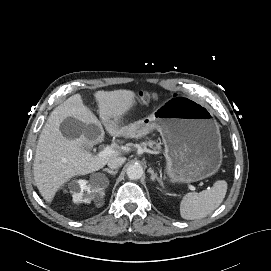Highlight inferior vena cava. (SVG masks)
<instances>
[{
	"label": "inferior vena cava",
	"mask_w": 271,
	"mask_h": 271,
	"mask_svg": "<svg viewBox=\"0 0 271 271\" xmlns=\"http://www.w3.org/2000/svg\"><path fill=\"white\" fill-rule=\"evenodd\" d=\"M124 162H125V158H124V157H114V158H111V159L108 161V166H109L111 169H117V168H119Z\"/></svg>",
	"instance_id": "602c4592"
}]
</instances>
